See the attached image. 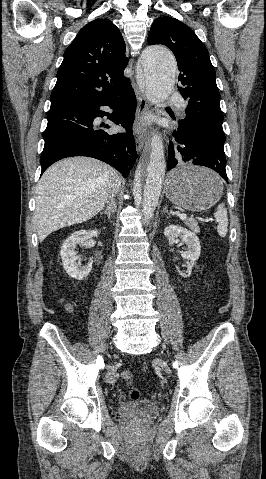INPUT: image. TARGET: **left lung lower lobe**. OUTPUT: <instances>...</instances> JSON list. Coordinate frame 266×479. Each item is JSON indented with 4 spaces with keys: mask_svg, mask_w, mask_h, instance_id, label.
Segmentation results:
<instances>
[{
    "mask_svg": "<svg viewBox=\"0 0 266 479\" xmlns=\"http://www.w3.org/2000/svg\"><path fill=\"white\" fill-rule=\"evenodd\" d=\"M175 145L169 143L168 149V171L176 167L177 164L186 162L195 165L209 167L219 173L228 183L226 174V159H216L214 161H206L202 150L196 146L190 138L178 127L174 130Z\"/></svg>",
    "mask_w": 266,
    "mask_h": 479,
    "instance_id": "1",
    "label": "left lung lower lobe"
}]
</instances>
